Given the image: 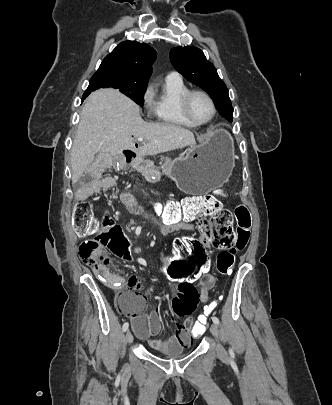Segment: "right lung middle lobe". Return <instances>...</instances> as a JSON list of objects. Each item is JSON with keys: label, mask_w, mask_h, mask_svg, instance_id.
Here are the masks:
<instances>
[{"label": "right lung middle lobe", "mask_w": 332, "mask_h": 405, "mask_svg": "<svg viewBox=\"0 0 332 405\" xmlns=\"http://www.w3.org/2000/svg\"><path fill=\"white\" fill-rule=\"evenodd\" d=\"M148 81L139 80L123 74L114 72H97L90 79L89 86L86 91H94L99 88H115L120 92L130 97L138 105L143 106L144 92Z\"/></svg>", "instance_id": "right-lung-middle-lobe-1"}]
</instances>
